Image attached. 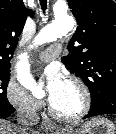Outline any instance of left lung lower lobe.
Segmentation results:
<instances>
[{
    "label": "left lung lower lobe",
    "instance_id": "0a47b994",
    "mask_svg": "<svg viewBox=\"0 0 116 134\" xmlns=\"http://www.w3.org/2000/svg\"><path fill=\"white\" fill-rule=\"evenodd\" d=\"M105 114H116V102L91 105L87 117H94Z\"/></svg>",
    "mask_w": 116,
    "mask_h": 134
}]
</instances>
